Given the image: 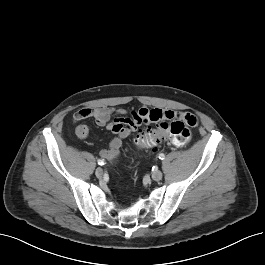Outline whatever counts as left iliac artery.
Instances as JSON below:
<instances>
[{
  "label": "left iliac artery",
  "mask_w": 265,
  "mask_h": 265,
  "mask_svg": "<svg viewBox=\"0 0 265 265\" xmlns=\"http://www.w3.org/2000/svg\"><path fill=\"white\" fill-rule=\"evenodd\" d=\"M158 157H159V159H161V160H164V159H165V155H164L163 153H160Z\"/></svg>",
  "instance_id": "44dca946"
}]
</instances>
